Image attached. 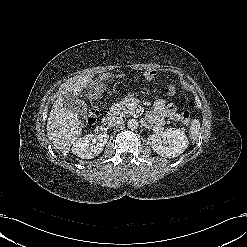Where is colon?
<instances>
[{
    "instance_id": "1",
    "label": "colon",
    "mask_w": 247,
    "mask_h": 247,
    "mask_svg": "<svg viewBox=\"0 0 247 247\" xmlns=\"http://www.w3.org/2000/svg\"><path fill=\"white\" fill-rule=\"evenodd\" d=\"M164 92L167 96H173L177 92V87L174 82H170L165 86ZM99 116V110L97 108L89 109L85 114V121L87 123H93ZM179 119L185 123L189 124L191 120V114L188 110L183 109L179 113Z\"/></svg>"
}]
</instances>
